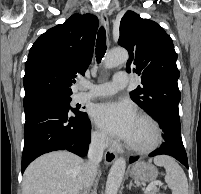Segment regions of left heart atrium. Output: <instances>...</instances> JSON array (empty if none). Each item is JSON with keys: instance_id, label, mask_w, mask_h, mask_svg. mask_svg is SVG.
Segmentation results:
<instances>
[{"instance_id": "left-heart-atrium-1", "label": "left heart atrium", "mask_w": 201, "mask_h": 194, "mask_svg": "<svg viewBox=\"0 0 201 194\" xmlns=\"http://www.w3.org/2000/svg\"><path fill=\"white\" fill-rule=\"evenodd\" d=\"M95 123L107 134L128 140L137 119L133 106L126 101H109L93 107Z\"/></svg>"}]
</instances>
